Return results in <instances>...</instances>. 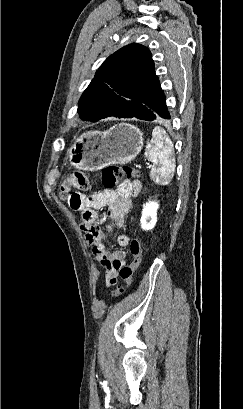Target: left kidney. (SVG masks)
<instances>
[{
	"instance_id": "1",
	"label": "left kidney",
	"mask_w": 243,
	"mask_h": 409,
	"mask_svg": "<svg viewBox=\"0 0 243 409\" xmlns=\"http://www.w3.org/2000/svg\"><path fill=\"white\" fill-rule=\"evenodd\" d=\"M159 204L157 202L149 201L143 205L141 216V228L143 230H151L157 222V210Z\"/></svg>"
}]
</instances>
